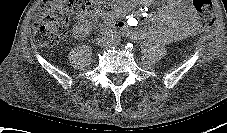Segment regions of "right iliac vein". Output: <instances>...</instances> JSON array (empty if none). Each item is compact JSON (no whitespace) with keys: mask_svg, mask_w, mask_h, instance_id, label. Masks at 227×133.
Instances as JSON below:
<instances>
[{"mask_svg":"<svg viewBox=\"0 0 227 133\" xmlns=\"http://www.w3.org/2000/svg\"><path fill=\"white\" fill-rule=\"evenodd\" d=\"M110 40H111L110 37L104 36V37L98 38L97 43H98L99 45H103V44L107 43V42L110 41Z\"/></svg>","mask_w":227,"mask_h":133,"instance_id":"1","label":"right iliac vein"}]
</instances>
